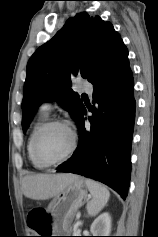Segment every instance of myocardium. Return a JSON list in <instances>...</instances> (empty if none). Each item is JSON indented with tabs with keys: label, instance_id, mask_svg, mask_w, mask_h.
<instances>
[{
	"label": "myocardium",
	"instance_id": "myocardium-1",
	"mask_svg": "<svg viewBox=\"0 0 158 237\" xmlns=\"http://www.w3.org/2000/svg\"><path fill=\"white\" fill-rule=\"evenodd\" d=\"M55 126L65 127L69 131V133L71 135V144H70L68 151L66 152V154L64 156H62L61 158L55 159V160H47V159L43 158L39 152V142H40V139L43 136V134L47 130H49L50 128L55 127ZM76 146H77V136H76V133L74 132V130L71 128V126L64 120L55 119V120H50L48 122H45L39 128V130L37 131V133L35 134L34 139H33L32 152H33L35 159L39 163L48 167V166L58 165L60 163L67 161L75 152Z\"/></svg>",
	"mask_w": 158,
	"mask_h": 237
}]
</instances>
